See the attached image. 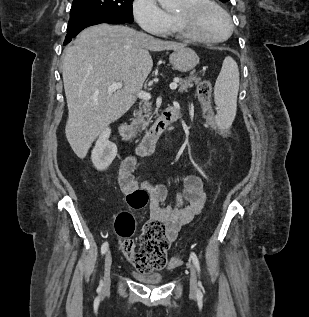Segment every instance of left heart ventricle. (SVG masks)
I'll return each mask as SVG.
<instances>
[{
    "label": "left heart ventricle",
    "instance_id": "left-heart-ventricle-1",
    "mask_svg": "<svg viewBox=\"0 0 309 317\" xmlns=\"http://www.w3.org/2000/svg\"><path fill=\"white\" fill-rule=\"evenodd\" d=\"M193 26L198 32L210 37H223L228 32L224 17L215 10L203 12L193 22Z\"/></svg>",
    "mask_w": 309,
    "mask_h": 317
}]
</instances>
